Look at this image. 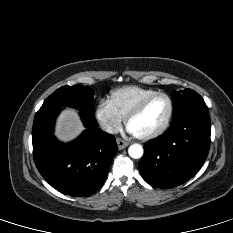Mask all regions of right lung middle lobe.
<instances>
[{"label":"right lung middle lobe","mask_w":233,"mask_h":233,"mask_svg":"<svg viewBox=\"0 0 233 233\" xmlns=\"http://www.w3.org/2000/svg\"><path fill=\"white\" fill-rule=\"evenodd\" d=\"M93 95L92 89L83 85L63 86L44 101L39 111L67 106L92 114Z\"/></svg>","instance_id":"dd1d6c3e"}]
</instances>
